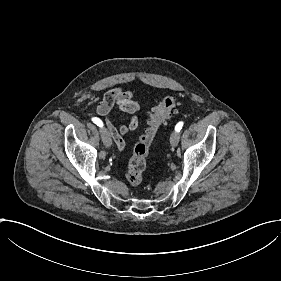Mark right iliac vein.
<instances>
[{"label": "right iliac vein", "instance_id": "63e3f726", "mask_svg": "<svg viewBox=\"0 0 281 281\" xmlns=\"http://www.w3.org/2000/svg\"><path fill=\"white\" fill-rule=\"evenodd\" d=\"M100 134H101V140L102 142L104 143V145H112V140L110 138V135H109V131L106 129V130H100Z\"/></svg>", "mask_w": 281, "mask_h": 281}]
</instances>
